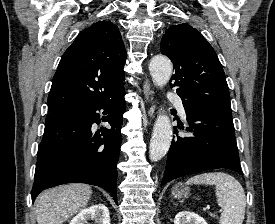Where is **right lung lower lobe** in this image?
<instances>
[{
    "mask_svg": "<svg viewBox=\"0 0 275 224\" xmlns=\"http://www.w3.org/2000/svg\"><path fill=\"white\" fill-rule=\"evenodd\" d=\"M125 91L101 102L76 109L49 112L32 188V201L44 189L65 183H87L109 191L117 204V162ZM109 114L110 129L92 130L100 123L98 110Z\"/></svg>",
    "mask_w": 275,
    "mask_h": 224,
    "instance_id": "obj_1",
    "label": "right lung lower lobe"
}]
</instances>
